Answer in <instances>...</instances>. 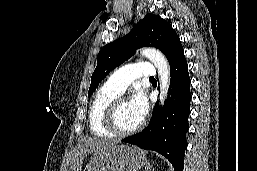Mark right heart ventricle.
I'll return each instance as SVG.
<instances>
[{
	"label": "right heart ventricle",
	"mask_w": 257,
	"mask_h": 171,
	"mask_svg": "<svg viewBox=\"0 0 257 171\" xmlns=\"http://www.w3.org/2000/svg\"><path fill=\"white\" fill-rule=\"evenodd\" d=\"M121 94L109 88L106 84L101 86L91 101L88 112V124L92 135L97 137H112L104 125L106 108L111 101Z\"/></svg>",
	"instance_id": "obj_1"
}]
</instances>
